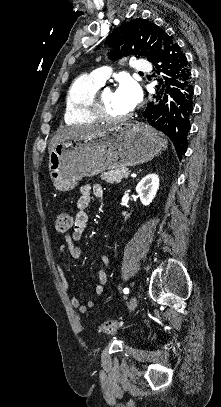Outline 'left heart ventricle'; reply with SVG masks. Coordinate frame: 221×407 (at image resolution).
<instances>
[{
	"mask_svg": "<svg viewBox=\"0 0 221 407\" xmlns=\"http://www.w3.org/2000/svg\"><path fill=\"white\" fill-rule=\"evenodd\" d=\"M103 99L108 112L114 116H122L130 112L114 90L103 92Z\"/></svg>",
	"mask_w": 221,
	"mask_h": 407,
	"instance_id": "obj_1",
	"label": "left heart ventricle"
}]
</instances>
